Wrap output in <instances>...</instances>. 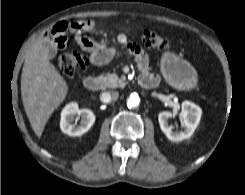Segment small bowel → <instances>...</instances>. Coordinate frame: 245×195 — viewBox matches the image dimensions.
Wrapping results in <instances>:
<instances>
[{
    "label": "small bowel",
    "mask_w": 245,
    "mask_h": 195,
    "mask_svg": "<svg viewBox=\"0 0 245 195\" xmlns=\"http://www.w3.org/2000/svg\"><path fill=\"white\" fill-rule=\"evenodd\" d=\"M95 26L96 23L90 20H80L71 24L59 22L55 24L49 32L52 40L47 41L45 51L51 54L55 49L65 48L68 43L66 32L70 29L76 34L77 44L90 54V62L93 65H104L115 57L119 48H127L135 57L141 71L148 73L149 57L140 46L129 40L128 31L124 30L120 33L115 39V44L112 45L110 42L95 41L86 35V33L92 31Z\"/></svg>",
    "instance_id": "obj_1"
}]
</instances>
